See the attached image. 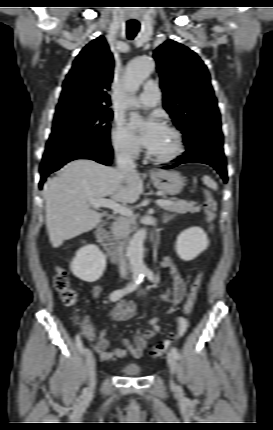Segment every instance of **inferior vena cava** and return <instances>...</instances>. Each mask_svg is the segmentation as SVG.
Instances as JSON below:
<instances>
[{
    "instance_id": "1",
    "label": "inferior vena cava",
    "mask_w": 273,
    "mask_h": 430,
    "mask_svg": "<svg viewBox=\"0 0 273 430\" xmlns=\"http://www.w3.org/2000/svg\"><path fill=\"white\" fill-rule=\"evenodd\" d=\"M116 163L117 168L121 172H128V171H134L136 168V164L132 158V156L128 153H116ZM123 245L124 243H121V253H120V265H119V272L121 277H126L128 275L127 272V264H126V258L123 254Z\"/></svg>"
}]
</instances>
